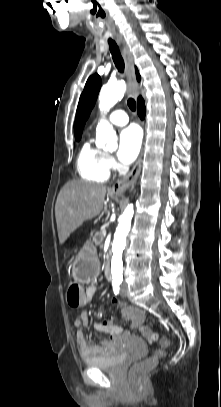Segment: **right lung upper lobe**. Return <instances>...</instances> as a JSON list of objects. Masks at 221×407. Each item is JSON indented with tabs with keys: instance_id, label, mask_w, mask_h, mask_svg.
I'll list each match as a JSON object with an SVG mask.
<instances>
[{
	"instance_id": "obj_1",
	"label": "right lung upper lobe",
	"mask_w": 221,
	"mask_h": 407,
	"mask_svg": "<svg viewBox=\"0 0 221 407\" xmlns=\"http://www.w3.org/2000/svg\"><path fill=\"white\" fill-rule=\"evenodd\" d=\"M136 75H137V80L139 81L140 80V76H139V74H138V70L136 69ZM140 98V97H139Z\"/></svg>"
}]
</instances>
